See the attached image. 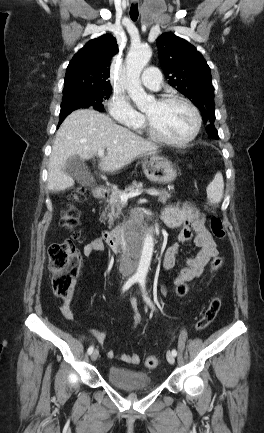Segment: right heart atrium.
Masks as SVG:
<instances>
[{"label": "right heart atrium", "instance_id": "1", "mask_svg": "<svg viewBox=\"0 0 264 433\" xmlns=\"http://www.w3.org/2000/svg\"><path fill=\"white\" fill-rule=\"evenodd\" d=\"M108 112L115 121L132 128L141 127L144 122L142 114L132 107L123 94L115 93L111 96Z\"/></svg>", "mask_w": 264, "mask_h": 433}]
</instances>
